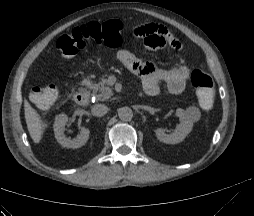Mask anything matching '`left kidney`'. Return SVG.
<instances>
[{
  "label": "left kidney",
  "mask_w": 254,
  "mask_h": 216,
  "mask_svg": "<svg viewBox=\"0 0 254 216\" xmlns=\"http://www.w3.org/2000/svg\"><path fill=\"white\" fill-rule=\"evenodd\" d=\"M180 119V124L177 125L176 130L172 134H166L162 128L154 130L157 139L166 144H177L185 139V137L192 131L193 122L187 117L186 112L178 108L175 112Z\"/></svg>",
  "instance_id": "obj_1"
}]
</instances>
